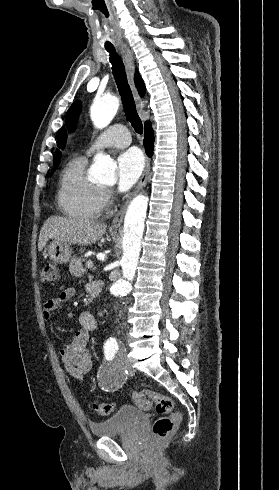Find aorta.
<instances>
[{
	"instance_id": "1",
	"label": "aorta",
	"mask_w": 279,
	"mask_h": 490,
	"mask_svg": "<svg viewBox=\"0 0 279 490\" xmlns=\"http://www.w3.org/2000/svg\"><path fill=\"white\" fill-rule=\"evenodd\" d=\"M118 108L119 100L114 96L95 101L90 108V117L95 127L103 129L108 126ZM115 169V161L110 156L99 153L94 157L90 174L96 181L110 183L115 179ZM147 207L148 197L141 194L135 197L127 208L122 241L123 256L120 261L123 277L114 282L110 288V293L114 296H125L132 290L131 283L141 251ZM108 342H116V339L110 337Z\"/></svg>"
}]
</instances>
